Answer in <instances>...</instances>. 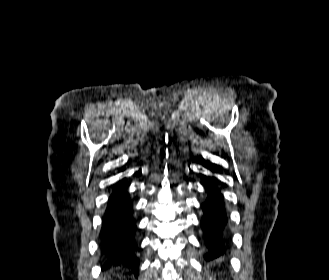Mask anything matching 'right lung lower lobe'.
<instances>
[{"mask_svg": "<svg viewBox=\"0 0 329 280\" xmlns=\"http://www.w3.org/2000/svg\"><path fill=\"white\" fill-rule=\"evenodd\" d=\"M132 203L125 189L115 187L109 198L103 228L101 230V253L108 265H123L139 271V262L135 256V223L132 219Z\"/></svg>", "mask_w": 329, "mask_h": 280, "instance_id": "1", "label": "right lung lower lobe"}]
</instances>
